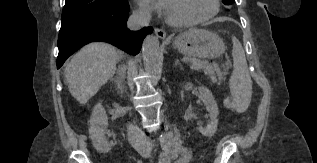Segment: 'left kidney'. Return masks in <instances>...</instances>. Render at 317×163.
I'll return each instance as SVG.
<instances>
[{"label": "left kidney", "instance_id": "obj_1", "mask_svg": "<svg viewBox=\"0 0 317 163\" xmlns=\"http://www.w3.org/2000/svg\"><path fill=\"white\" fill-rule=\"evenodd\" d=\"M193 88L192 83H187L185 85L186 90H190ZM199 90V97L203 101L204 105L206 106V110L209 113L210 120L208 124L205 127H198V131L207 137H212L217 131V126H218V106L214 100V97L211 93V91L205 87V86H200L198 87Z\"/></svg>", "mask_w": 317, "mask_h": 163}]
</instances>
